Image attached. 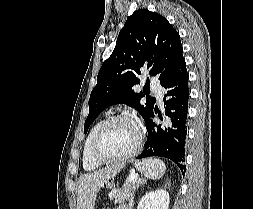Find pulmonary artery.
I'll use <instances>...</instances> for the list:
<instances>
[{"instance_id":"1","label":"pulmonary artery","mask_w":253,"mask_h":209,"mask_svg":"<svg viewBox=\"0 0 253 209\" xmlns=\"http://www.w3.org/2000/svg\"><path fill=\"white\" fill-rule=\"evenodd\" d=\"M149 83L153 92L158 96L159 99H161L162 86L153 78L149 80Z\"/></svg>"}]
</instances>
